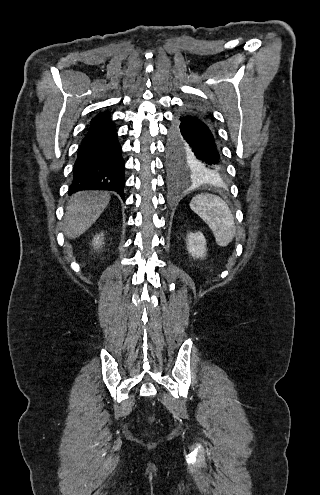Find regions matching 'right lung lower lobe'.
Wrapping results in <instances>:
<instances>
[{
    "label": "right lung lower lobe",
    "instance_id": "98d812e1",
    "mask_svg": "<svg viewBox=\"0 0 320 495\" xmlns=\"http://www.w3.org/2000/svg\"><path fill=\"white\" fill-rule=\"evenodd\" d=\"M125 162L116 126L110 118L90 124L77 151L69 194L81 190H110L123 201Z\"/></svg>",
    "mask_w": 320,
    "mask_h": 495
}]
</instances>
